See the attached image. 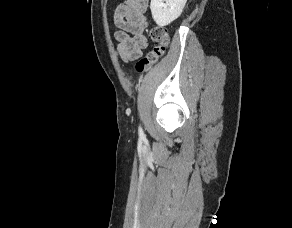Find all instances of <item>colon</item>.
<instances>
[{"label": "colon", "mask_w": 292, "mask_h": 228, "mask_svg": "<svg viewBox=\"0 0 292 228\" xmlns=\"http://www.w3.org/2000/svg\"><path fill=\"white\" fill-rule=\"evenodd\" d=\"M148 38L153 43V48L137 62L136 70L140 73L149 70L164 55L170 40L168 30L160 26L151 28Z\"/></svg>", "instance_id": "colon-1"}]
</instances>
